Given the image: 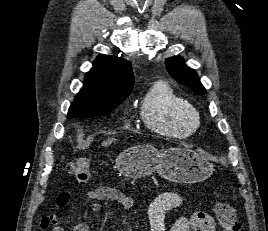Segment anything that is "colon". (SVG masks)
<instances>
[{"instance_id": "colon-1", "label": "colon", "mask_w": 268, "mask_h": 231, "mask_svg": "<svg viewBox=\"0 0 268 231\" xmlns=\"http://www.w3.org/2000/svg\"><path fill=\"white\" fill-rule=\"evenodd\" d=\"M92 160L88 157L74 159L68 166V171L79 182H86L92 171ZM214 212L222 231H241L234 208L225 202H216Z\"/></svg>"}]
</instances>
